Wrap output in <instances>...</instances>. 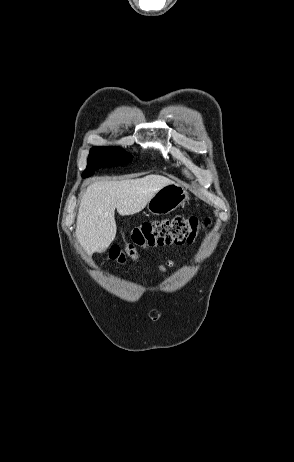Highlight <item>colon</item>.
<instances>
[{
	"label": "colon",
	"mask_w": 294,
	"mask_h": 462,
	"mask_svg": "<svg viewBox=\"0 0 294 462\" xmlns=\"http://www.w3.org/2000/svg\"><path fill=\"white\" fill-rule=\"evenodd\" d=\"M209 224V219L201 220L183 215L146 222L133 230L131 240L124 248L112 246L109 257L118 263H125L128 258L137 257L138 248L191 244Z\"/></svg>",
	"instance_id": "colon-1"
}]
</instances>
